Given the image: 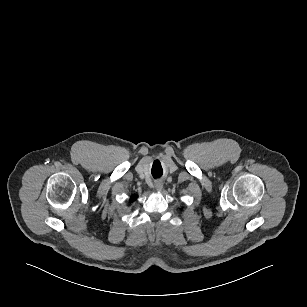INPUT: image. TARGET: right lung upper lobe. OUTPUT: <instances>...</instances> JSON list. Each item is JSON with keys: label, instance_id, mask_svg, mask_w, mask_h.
<instances>
[{"label": "right lung upper lobe", "instance_id": "1", "mask_svg": "<svg viewBox=\"0 0 307 307\" xmlns=\"http://www.w3.org/2000/svg\"><path fill=\"white\" fill-rule=\"evenodd\" d=\"M133 198H134V196H132V198H131V200H130V201H133Z\"/></svg>", "mask_w": 307, "mask_h": 307}]
</instances>
